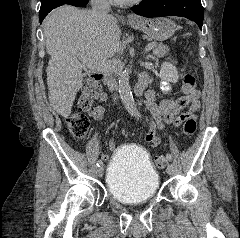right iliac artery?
<instances>
[{"instance_id": "right-iliac-artery-1", "label": "right iliac artery", "mask_w": 240, "mask_h": 238, "mask_svg": "<svg viewBox=\"0 0 240 238\" xmlns=\"http://www.w3.org/2000/svg\"><path fill=\"white\" fill-rule=\"evenodd\" d=\"M102 165H103V162L99 160V161L97 162V166L100 167V166H102Z\"/></svg>"}]
</instances>
